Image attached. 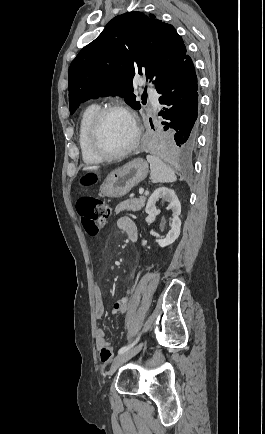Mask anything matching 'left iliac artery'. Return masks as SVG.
<instances>
[{
  "mask_svg": "<svg viewBox=\"0 0 265 434\" xmlns=\"http://www.w3.org/2000/svg\"><path fill=\"white\" fill-rule=\"evenodd\" d=\"M138 340H139V336L132 343L121 347L118 351V354H122V353L128 351L129 349H131L138 342Z\"/></svg>",
  "mask_w": 265,
  "mask_h": 434,
  "instance_id": "left-iliac-artery-1",
  "label": "left iliac artery"
}]
</instances>
